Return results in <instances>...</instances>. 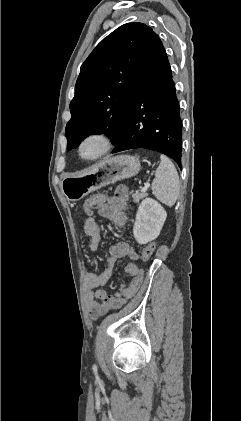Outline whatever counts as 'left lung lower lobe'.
<instances>
[{
    "instance_id": "left-lung-lower-lobe-1",
    "label": "left lung lower lobe",
    "mask_w": 241,
    "mask_h": 421,
    "mask_svg": "<svg viewBox=\"0 0 241 421\" xmlns=\"http://www.w3.org/2000/svg\"><path fill=\"white\" fill-rule=\"evenodd\" d=\"M180 105L166 51L158 38L137 84L124 132L113 153L146 148L171 157L181 168Z\"/></svg>"
}]
</instances>
